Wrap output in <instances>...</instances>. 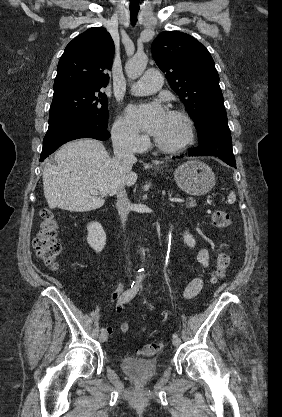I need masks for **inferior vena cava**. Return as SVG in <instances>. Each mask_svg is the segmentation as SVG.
Segmentation results:
<instances>
[{"label":"inferior vena cava","mask_w":282,"mask_h":417,"mask_svg":"<svg viewBox=\"0 0 282 417\" xmlns=\"http://www.w3.org/2000/svg\"><path fill=\"white\" fill-rule=\"evenodd\" d=\"M112 140L115 154L113 158L114 162L120 164L125 172H130L133 162L137 160L133 154V144L130 136L126 132H122V130H112ZM116 206L122 227L125 229L131 204L124 186H120L117 192Z\"/></svg>","instance_id":"602c4592"}]
</instances>
